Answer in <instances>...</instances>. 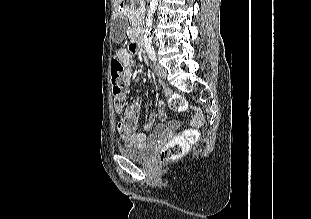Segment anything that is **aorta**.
Returning <instances> with one entry per match:
<instances>
[{"label": "aorta", "instance_id": "1", "mask_svg": "<svg viewBox=\"0 0 311 219\" xmlns=\"http://www.w3.org/2000/svg\"><path fill=\"white\" fill-rule=\"evenodd\" d=\"M158 0H150L149 9L146 18L145 34H144V47L146 49L151 48L152 37H151V28L153 24V15L157 9Z\"/></svg>", "mask_w": 311, "mask_h": 219}]
</instances>
